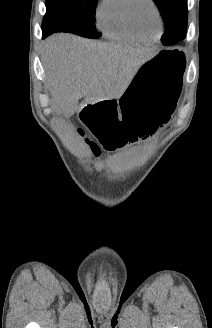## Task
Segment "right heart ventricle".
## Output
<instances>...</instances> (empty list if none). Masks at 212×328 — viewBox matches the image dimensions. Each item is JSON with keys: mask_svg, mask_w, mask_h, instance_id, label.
<instances>
[{"mask_svg": "<svg viewBox=\"0 0 212 328\" xmlns=\"http://www.w3.org/2000/svg\"><path fill=\"white\" fill-rule=\"evenodd\" d=\"M130 0H102L96 13L99 30L109 39L129 44H150L156 35L141 36L128 17Z\"/></svg>", "mask_w": 212, "mask_h": 328, "instance_id": "e07e8e85", "label": "right heart ventricle"}]
</instances>
